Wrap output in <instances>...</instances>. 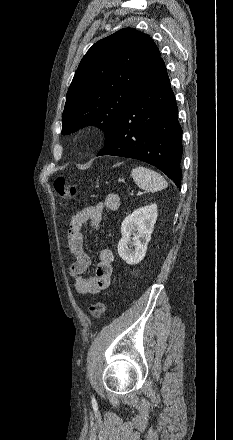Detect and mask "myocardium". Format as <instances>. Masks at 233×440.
Masks as SVG:
<instances>
[{
  "label": "myocardium",
  "mask_w": 233,
  "mask_h": 440,
  "mask_svg": "<svg viewBox=\"0 0 233 440\" xmlns=\"http://www.w3.org/2000/svg\"><path fill=\"white\" fill-rule=\"evenodd\" d=\"M98 136L96 129H86L81 135V140L85 145H93L98 140Z\"/></svg>",
  "instance_id": "f54148a6"
}]
</instances>
